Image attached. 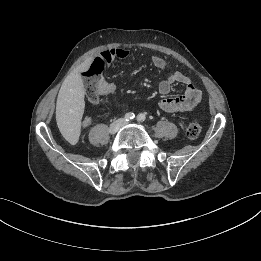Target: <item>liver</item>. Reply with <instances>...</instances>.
I'll list each match as a JSON object with an SVG mask.
<instances>
[{"label":"liver","instance_id":"liver-1","mask_svg":"<svg viewBox=\"0 0 261 261\" xmlns=\"http://www.w3.org/2000/svg\"><path fill=\"white\" fill-rule=\"evenodd\" d=\"M91 59L86 60L65 78L57 97L56 120L63 133L77 132L85 107V90L80 72L89 68Z\"/></svg>","mask_w":261,"mask_h":261}]
</instances>
